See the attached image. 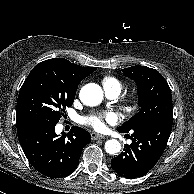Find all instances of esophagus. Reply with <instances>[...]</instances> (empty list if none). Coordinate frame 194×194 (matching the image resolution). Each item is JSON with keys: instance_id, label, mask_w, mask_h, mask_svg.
<instances>
[{"instance_id": "1", "label": "esophagus", "mask_w": 194, "mask_h": 194, "mask_svg": "<svg viewBox=\"0 0 194 194\" xmlns=\"http://www.w3.org/2000/svg\"><path fill=\"white\" fill-rule=\"evenodd\" d=\"M105 137L103 135L97 134V133H91V139L97 140V139H104Z\"/></svg>"}]
</instances>
